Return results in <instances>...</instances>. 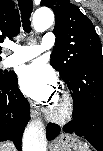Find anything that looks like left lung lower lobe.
I'll return each mask as SVG.
<instances>
[{"instance_id": "0a47b994", "label": "left lung lower lobe", "mask_w": 103, "mask_h": 151, "mask_svg": "<svg viewBox=\"0 0 103 151\" xmlns=\"http://www.w3.org/2000/svg\"><path fill=\"white\" fill-rule=\"evenodd\" d=\"M91 77L84 79L78 74L67 83L73 98V121L64 127L66 133L75 132L97 150L103 151V61L91 60ZM47 139L60 133V127L49 123Z\"/></svg>"}]
</instances>
